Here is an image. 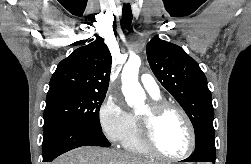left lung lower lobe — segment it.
<instances>
[{
    "mask_svg": "<svg viewBox=\"0 0 251 164\" xmlns=\"http://www.w3.org/2000/svg\"><path fill=\"white\" fill-rule=\"evenodd\" d=\"M186 162H212L215 163V151L211 150L207 144L201 143L195 147L192 157Z\"/></svg>",
    "mask_w": 251,
    "mask_h": 164,
    "instance_id": "left-lung-lower-lobe-1",
    "label": "left lung lower lobe"
}]
</instances>
